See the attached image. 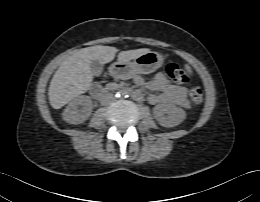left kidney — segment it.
I'll use <instances>...</instances> for the list:
<instances>
[{"mask_svg":"<svg viewBox=\"0 0 260 202\" xmlns=\"http://www.w3.org/2000/svg\"><path fill=\"white\" fill-rule=\"evenodd\" d=\"M153 114L158 123L166 128L175 127L186 118V112L182 108L168 103L156 105Z\"/></svg>","mask_w":260,"mask_h":202,"instance_id":"left-kidney-1","label":"left kidney"}]
</instances>
